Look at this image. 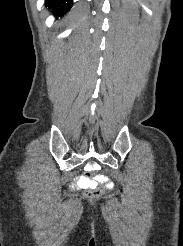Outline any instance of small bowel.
Returning a JSON list of instances; mask_svg holds the SVG:
<instances>
[{
	"mask_svg": "<svg viewBox=\"0 0 183 246\" xmlns=\"http://www.w3.org/2000/svg\"><path fill=\"white\" fill-rule=\"evenodd\" d=\"M77 178L80 179V180L75 181V184L77 185L78 188L81 187L79 185H84L86 187L92 186L93 181L94 182H107L106 183V193L110 194L111 191H115L114 181H111L110 177H106V174H93V181L87 179L88 178L87 174H78Z\"/></svg>",
	"mask_w": 183,
	"mask_h": 246,
	"instance_id": "c3829d8e",
	"label": "small bowel"
}]
</instances>
